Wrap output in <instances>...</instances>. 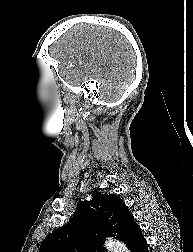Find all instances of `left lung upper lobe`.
<instances>
[{"label":"left lung upper lobe","mask_w":193,"mask_h":252,"mask_svg":"<svg viewBox=\"0 0 193 252\" xmlns=\"http://www.w3.org/2000/svg\"><path fill=\"white\" fill-rule=\"evenodd\" d=\"M81 201L70 221L50 234L39 252H103L102 239L116 237L128 244L138 226L125 203L115 194L95 191Z\"/></svg>","instance_id":"obj_1"}]
</instances>
